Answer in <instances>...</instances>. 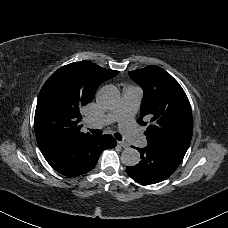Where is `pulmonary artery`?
<instances>
[{
  "instance_id": "pulmonary-artery-1",
  "label": "pulmonary artery",
  "mask_w": 228,
  "mask_h": 228,
  "mask_svg": "<svg viewBox=\"0 0 228 228\" xmlns=\"http://www.w3.org/2000/svg\"><path fill=\"white\" fill-rule=\"evenodd\" d=\"M123 95L126 101L122 105L119 104L118 108L105 118L103 124H110L113 121L118 122L122 120L120 133L133 145L144 147L146 145V138L133 129L137 105L142 96L141 92L138 89L129 88L124 91Z\"/></svg>"
}]
</instances>
